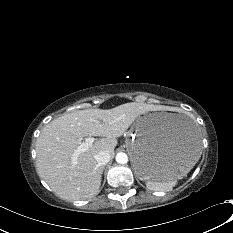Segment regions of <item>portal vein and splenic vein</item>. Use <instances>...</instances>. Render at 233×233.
Listing matches in <instances>:
<instances>
[{
	"instance_id": "portal-vein-and-splenic-vein-1",
	"label": "portal vein and splenic vein",
	"mask_w": 233,
	"mask_h": 233,
	"mask_svg": "<svg viewBox=\"0 0 233 233\" xmlns=\"http://www.w3.org/2000/svg\"><path fill=\"white\" fill-rule=\"evenodd\" d=\"M93 142H94V138L92 137H88L85 139L84 142H80L73 154V159L76 160L80 153L87 151L88 148L93 144Z\"/></svg>"
}]
</instances>
